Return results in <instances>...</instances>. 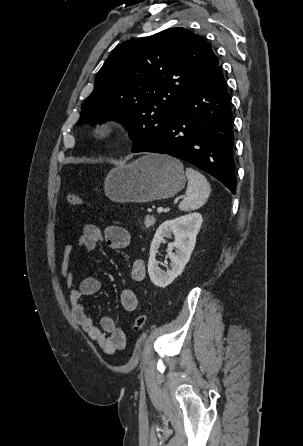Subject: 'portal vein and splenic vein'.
Listing matches in <instances>:
<instances>
[{"instance_id":"portal-vein-and-splenic-vein-1","label":"portal vein and splenic vein","mask_w":303,"mask_h":446,"mask_svg":"<svg viewBox=\"0 0 303 446\" xmlns=\"http://www.w3.org/2000/svg\"><path fill=\"white\" fill-rule=\"evenodd\" d=\"M163 210H164L163 207H158L157 208V213H161V212H163Z\"/></svg>"}]
</instances>
